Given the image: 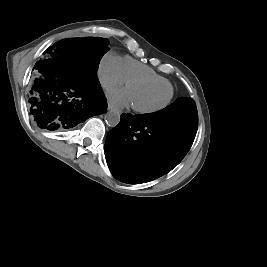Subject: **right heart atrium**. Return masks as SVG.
Returning <instances> with one entry per match:
<instances>
[{
    "mask_svg": "<svg viewBox=\"0 0 267 267\" xmlns=\"http://www.w3.org/2000/svg\"><path fill=\"white\" fill-rule=\"evenodd\" d=\"M98 78L104 88L122 85L126 80L123 75L121 59L113 53L102 56L98 65Z\"/></svg>",
    "mask_w": 267,
    "mask_h": 267,
    "instance_id": "right-heart-atrium-1",
    "label": "right heart atrium"
}]
</instances>
